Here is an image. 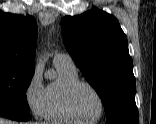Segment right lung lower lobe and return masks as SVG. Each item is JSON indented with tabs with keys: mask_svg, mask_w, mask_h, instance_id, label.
Returning <instances> with one entry per match:
<instances>
[{
	"mask_svg": "<svg viewBox=\"0 0 156 124\" xmlns=\"http://www.w3.org/2000/svg\"><path fill=\"white\" fill-rule=\"evenodd\" d=\"M0 117L15 121H28L30 120V113L24 110L0 106Z\"/></svg>",
	"mask_w": 156,
	"mask_h": 124,
	"instance_id": "right-lung-lower-lobe-1",
	"label": "right lung lower lobe"
}]
</instances>
